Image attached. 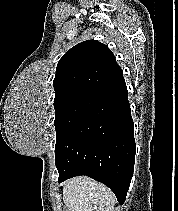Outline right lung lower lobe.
Returning <instances> with one entry per match:
<instances>
[{
	"instance_id": "right-lung-lower-lobe-1",
	"label": "right lung lower lobe",
	"mask_w": 178,
	"mask_h": 211,
	"mask_svg": "<svg viewBox=\"0 0 178 211\" xmlns=\"http://www.w3.org/2000/svg\"><path fill=\"white\" fill-rule=\"evenodd\" d=\"M135 151L125 86L98 100L55 150L58 182L86 175L108 186L123 204L133 176Z\"/></svg>"
}]
</instances>
